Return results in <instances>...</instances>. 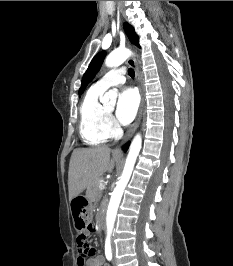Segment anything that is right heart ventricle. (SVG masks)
Returning a JSON list of instances; mask_svg holds the SVG:
<instances>
[{"label": "right heart ventricle", "instance_id": "obj_1", "mask_svg": "<svg viewBox=\"0 0 233 266\" xmlns=\"http://www.w3.org/2000/svg\"><path fill=\"white\" fill-rule=\"evenodd\" d=\"M105 90L96 85L91 86L80 106L79 131L87 145H100L107 141L109 134L106 130L108 113L99 98Z\"/></svg>", "mask_w": 233, "mask_h": 266}]
</instances>
